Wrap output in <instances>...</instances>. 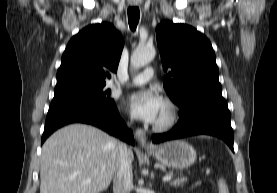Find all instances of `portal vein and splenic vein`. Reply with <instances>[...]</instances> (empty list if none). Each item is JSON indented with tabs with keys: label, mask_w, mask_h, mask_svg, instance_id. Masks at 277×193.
<instances>
[{
	"label": "portal vein and splenic vein",
	"mask_w": 277,
	"mask_h": 193,
	"mask_svg": "<svg viewBox=\"0 0 277 193\" xmlns=\"http://www.w3.org/2000/svg\"><path fill=\"white\" fill-rule=\"evenodd\" d=\"M172 179V176H164L162 178L163 181H170Z\"/></svg>",
	"instance_id": "18ae733b"
}]
</instances>
